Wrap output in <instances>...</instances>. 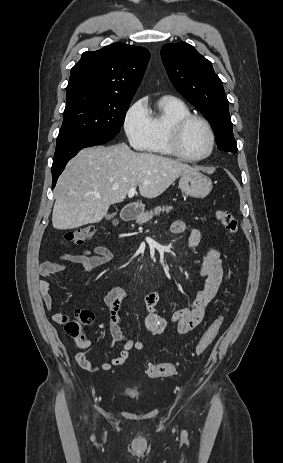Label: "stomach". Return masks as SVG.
I'll return each instance as SVG.
<instances>
[{
	"label": "stomach",
	"mask_w": 283,
	"mask_h": 463,
	"mask_svg": "<svg viewBox=\"0 0 283 463\" xmlns=\"http://www.w3.org/2000/svg\"><path fill=\"white\" fill-rule=\"evenodd\" d=\"M212 187L211 179L199 171L182 175L179 179V188L182 193L194 198L206 197L211 192ZM143 211L144 207L140 206L138 212L142 213Z\"/></svg>",
	"instance_id": "stomach-1"
}]
</instances>
